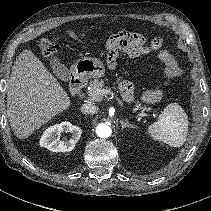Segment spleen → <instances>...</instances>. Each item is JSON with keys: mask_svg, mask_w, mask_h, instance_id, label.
Instances as JSON below:
<instances>
[{"mask_svg": "<svg viewBox=\"0 0 211 211\" xmlns=\"http://www.w3.org/2000/svg\"><path fill=\"white\" fill-rule=\"evenodd\" d=\"M147 131L155 141L180 147L187 137V115L177 103L168 104L159 115L158 121L151 124Z\"/></svg>", "mask_w": 211, "mask_h": 211, "instance_id": "obj_1", "label": "spleen"}]
</instances>
